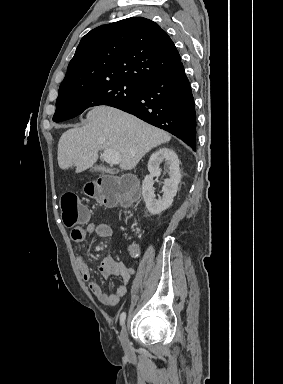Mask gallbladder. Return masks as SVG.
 <instances>
[{
	"label": "gallbladder",
	"mask_w": 283,
	"mask_h": 384,
	"mask_svg": "<svg viewBox=\"0 0 283 384\" xmlns=\"http://www.w3.org/2000/svg\"><path fill=\"white\" fill-rule=\"evenodd\" d=\"M110 165H97L96 167H95V170L97 171V172H110ZM93 175H95L96 173L95 172H93L92 173Z\"/></svg>",
	"instance_id": "1"
}]
</instances>
